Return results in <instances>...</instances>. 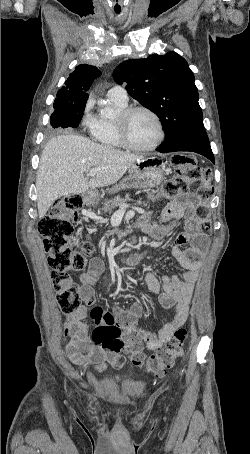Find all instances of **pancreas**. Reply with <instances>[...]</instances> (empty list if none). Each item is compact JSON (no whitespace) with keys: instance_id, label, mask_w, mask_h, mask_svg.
<instances>
[{"instance_id":"pancreas-1","label":"pancreas","mask_w":250,"mask_h":454,"mask_svg":"<svg viewBox=\"0 0 250 454\" xmlns=\"http://www.w3.org/2000/svg\"><path fill=\"white\" fill-rule=\"evenodd\" d=\"M126 198H129V195H126ZM124 202H125V200L123 198H121L120 196H117L112 200L105 201L103 203L102 210L104 212H111L114 208H116L117 206H120ZM110 234H112V232H110L106 235L109 236Z\"/></svg>"}]
</instances>
